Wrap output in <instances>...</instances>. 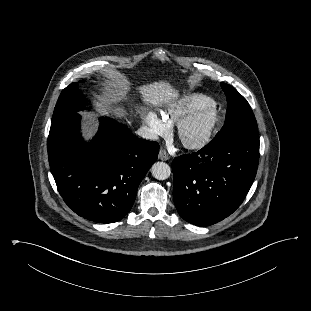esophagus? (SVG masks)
Masks as SVG:
<instances>
[{"mask_svg": "<svg viewBox=\"0 0 311 311\" xmlns=\"http://www.w3.org/2000/svg\"><path fill=\"white\" fill-rule=\"evenodd\" d=\"M158 157H159L160 160H163V161H166V160H168L170 158L168 153L164 149H161L159 151Z\"/></svg>", "mask_w": 311, "mask_h": 311, "instance_id": "1", "label": "esophagus"}]
</instances>
